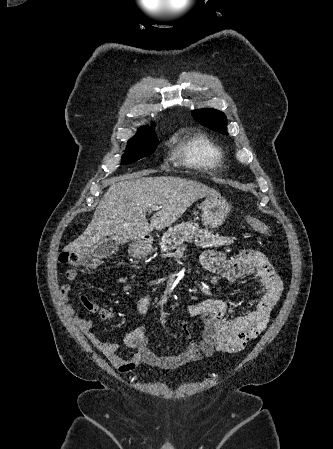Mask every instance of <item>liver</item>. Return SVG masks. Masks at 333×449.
<instances>
[{"mask_svg": "<svg viewBox=\"0 0 333 449\" xmlns=\"http://www.w3.org/2000/svg\"><path fill=\"white\" fill-rule=\"evenodd\" d=\"M118 177L104 194L86 230L64 248L65 252L82 253L94 248L105 237L125 244L141 240L154 228L174 223L197 200L220 196L200 182L180 177ZM157 206L151 223L147 212Z\"/></svg>", "mask_w": 333, "mask_h": 449, "instance_id": "liver-1", "label": "liver"}]
</instances>
